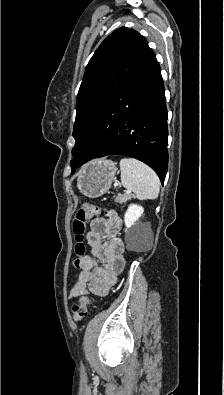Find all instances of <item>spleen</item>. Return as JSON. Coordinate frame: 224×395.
Wrapping results in <instances>:
<instances>
[{"mask_svg": "<svg viewBox=\"0 0 224 395\" xmlns=\"http://www.w3.org/2000/svg\"><path fill=\"white\" fill-rule=\"evenodd\" d=\"M121 184L133 191L140 200H153L158 197L160 181L157 174L146 164L133 158L120 161Z\"/></svg>", "mask_w": 224, "mask_h": 395, "instance_id": "spleen-1", "label": "spleen"}]
</instances>
